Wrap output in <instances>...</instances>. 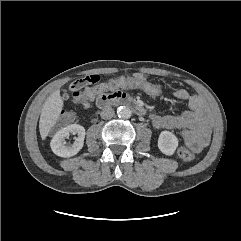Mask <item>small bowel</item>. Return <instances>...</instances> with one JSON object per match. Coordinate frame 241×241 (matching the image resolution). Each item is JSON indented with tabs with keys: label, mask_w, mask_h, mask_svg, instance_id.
I'll list each match as a JSON object with an SVG mask.
<instances>
[{
	"label": "small bowel",
	"mask_w": 241,
	"mask_h": 241,
	"mask_svg": "<svg viewBox=\"0 0 241 241\" xmlns=\"http://www.w3.org/2000/svg\"><path fill=\"white\" fill-rule=\"evenodd\" d=\"M135 76L148 80L143 74ZM178 100L185 101L188 110L178 115H150L152 125L157 129H179L183 140L193 152H200L210 141L211 120L208 109L199 95L191 94L184 89H177L173 93ZM89 100H83V108L89 107Z\"/></svg>",
	"instance_id": "obj_1"
}]
</instances>
